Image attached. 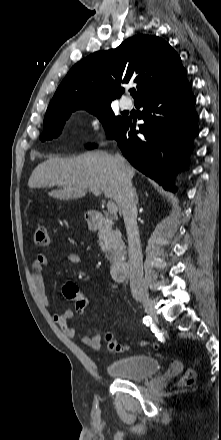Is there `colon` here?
I'll return each mask as SVG.
<instances>
[{"mask_svg": "<svg viewBox=\"0 0 221 440\" xmlns=\"http://www.w3.org/2000/svg\"><path fill=\"white\" fill-rule=\"evenodd\" d=\"M34 241L35 244L40 247H48L50 245L49 234L45 226L40 225L36 228L34 233ZM62 292L67 300L73 301L75 303L77 311L82 312L91 308L88 300L84 297V295L79 291L77 285L73 282H66L62 288ZM105 340L108 349L112 351L121 352L125 349V346H123L116 338H114L112 333H107L105 336ZM142 345H151L154 348L159 347L157 343H150L147 341H143ZM195 377V372L190 369L183 375L180 384L182 386H191L195 382Z\"/></svg>", "mask_w": 221, "mask_h": 440, "instance_id": "colon-1", "label": "colon"}]
</instances>
